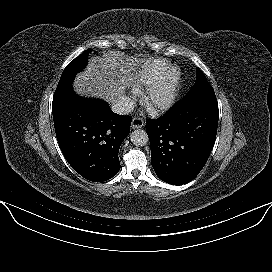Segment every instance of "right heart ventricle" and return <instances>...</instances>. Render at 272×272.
I'll return each mask as SVG.
<instances>
[{
    "label": "right heart ventricle",
    "instance_id": "right-heart-ventricle-1",
    "mask_svg": "<svg viewBox=\"0 0 272 272\" xmlns=\"http://www.w3.org/2000/svg\"><path fill=\"white\" fill-rule=\"evenodd\" d=\"M168 68L169 63L162 59L145 61L131 79V88L139 91L142 88L151 87L162 77Z\"/></svg>",
    "mask_w": 272,
    "mask_h": 272
}]
</instances>
